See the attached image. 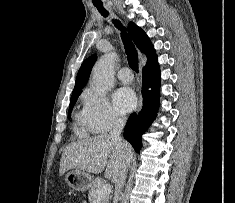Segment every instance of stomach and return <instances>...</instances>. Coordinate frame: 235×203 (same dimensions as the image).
Wrapping results in <instances>:
<instances>
[{"label": "stomach", "instance_id": "stomach-1", "mask_svg": "<svg viewBox=\"0 0 235 203\" xmlns=\"http://www.w3.org/2000/svg\"><path fill=\"white\" fill-rule=\"evenodd\" d=\"M65 183L75 191H86L91 188L93 178L81 170H72L65 175Z\"/></svg>", "mask_w": 235, "mask_h": 203}]
</instances>
